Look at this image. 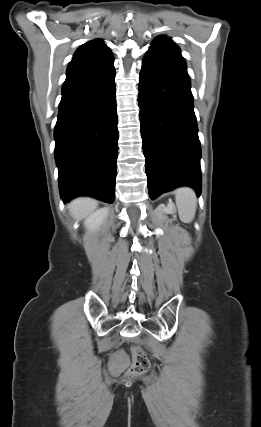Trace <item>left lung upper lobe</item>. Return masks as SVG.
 Wrapping results in <instances>:
<instances>
[{
	"label": "left lung upper lobe",
	"mask_w": 261,
	"mask_h": 427,
	"mask_svg": "<svg viewBox=\"0 0 261 427\" xmlns=\"http://www.w3.org/2000/svg\"><path fill=\"white\" fill-rule=\"evenodd\" d=\"M151 48L164 51L166 53L172 54L174 56L183 58L180 53V49L175 45V43L168 37L158 36L152 42Z\"/></svg>",
	"instance_id": "obj_1"
}]
</instances>
